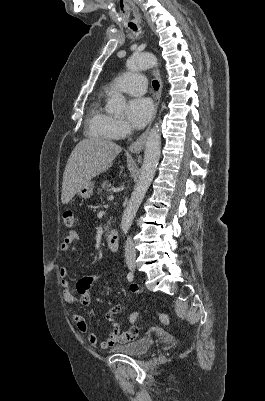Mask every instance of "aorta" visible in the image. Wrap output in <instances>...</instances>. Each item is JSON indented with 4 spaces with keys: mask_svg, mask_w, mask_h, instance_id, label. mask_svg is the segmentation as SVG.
<instances>
[{
    "mask_svg": "<svg viewBox=\"0 0 265 401\" xmlns=\"http://www.w3.org/2000/svg\"><path fill=\"white\" fill-rule=\"evenodd\" d=\"M157 58L151 52H141L135 58L127 60L126 66L129 70H141V68H151L156 66ZM126 104V100L121 92H116L115 96H112L108 102L109 110L112 112H120L123 110ZM161 154V130L159 122L154 124L151 128L147 140L145 142L143 164L139 176V180L132 192L130 201L121 217V231L126 235L128 233L133 219L136 217V213L143 201V198L154 178L157 164L159 162Z\"/></svg>",
    "mask_w": 265,
    "mask_h": 401,
    "instance_id": "obj_1",
    "label": "aorta"
}]
</instances>
